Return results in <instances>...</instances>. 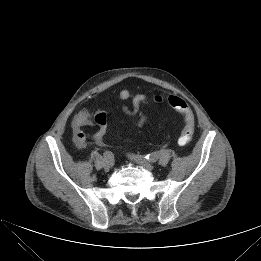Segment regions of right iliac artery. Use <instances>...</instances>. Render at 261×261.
Here are the masks:
<instances>
[{"instance_id": "obj_1", "label": "right iliac artery", "mask_w": 261, "mask_h": 261, "mask_svg": "<svg viewBox=\"0 0 261 261\" xmlns=\"http://www.w3.org/2000/svg\"><path fill=\"white\" fill-rule=\"evenodd\" d=\"M103 158L106 161L113 162L114 161V154L111 151H105L103 153Z\"/></svg>"}]
</instances>
